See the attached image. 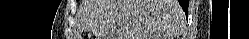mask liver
<instances>
[{"instance_id":"liver-1","label":"liver","mask_w":249,"mask_h":39,"mask_svg":"<svg viewBox=\"0 0 249 39\" xmlns=\"http://www.w3.org/2000/svg\"><path fill=\"white\" fill-rule=\"evenodd\" d=\"M183 20L177 0H83L80 8L88 39H170Z\"/></svg>"}]
</instances>
